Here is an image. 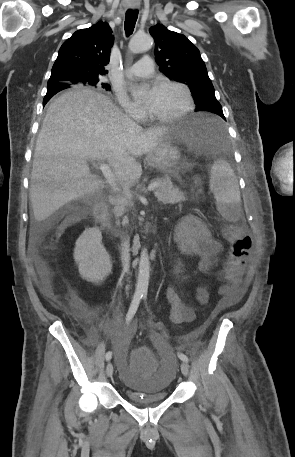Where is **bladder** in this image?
I'll return each mask as SVG.
<instances>
[{
    "label": "bladder",
    "mask_w": 295,
    "mask_h": 457,
    "mask_svg": "<svg viewBox=\"0 0 295 457\" xmlns=\"http://www.w3.org/2000/svg\"><path fill=\"white\" fill-rule=\"evenodd\" d=\"M113 347L109 351V360H112L113 365L118 367L117 375L123 378L125 386L124 394L126 398L133 404L145 406L152 403L162 402L169 396L168 387L173 378L172 369L176 367L177 355L175 352H169V347L166 342H157L155 345L159 356L157 362L159 364L158 374H131L130 363L127 351L123 347H128V338H113Z\"/></svg>",
    "instance_id": "obj_1"
}]
</instances>
